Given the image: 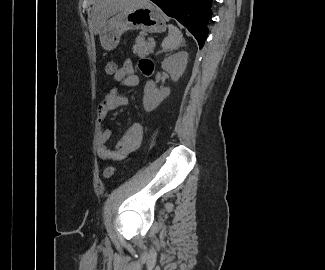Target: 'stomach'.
Masks as SVG:
<instances>
[{"label": "stomach", "instance_id": "stomach-1", "mask_svg": "<svg viewBox=\"0 0 325 270\" xmlns=\"http://www.w3.org/2000/svg\"><path fill=\"white\" fill-rule=\"evenodd\" d=\"M136 29L149 33L164 32L166 22L158 7L151 3H141L112 15L100 31L101 45L105 50H113L125 31Z\"/></svg>", "mask_w": 325, "mask_h": 270}]
</instances>
